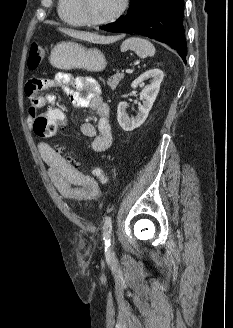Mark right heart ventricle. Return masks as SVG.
I'll return each instance as SVG.
<instances>
[{
	"label": "right heart ventricle",
	"instance_id": "obj_1",
	"mask_svg": "<svg viewBox=\"0 0 233 328\" xmlns=\"http://www.w3.org/2000/svg\"><path fill=\"white\" fill-rule=\"evenodd\" d=\"M58 14L60 19L70 26L85 25L76 9V0H59Z\"/></svg>",
	"mask_w": 233,
	"mask_h": 328
}]
</instances>
